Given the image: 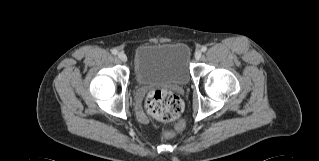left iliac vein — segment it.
Listing matches in <instances>:
<instances>
[{"label": "left iliac vein", "mask_w": 319, "mask_h": 161, "mask_svg": "<svg viewBox=\"0 0 319 161\" xmlns=\"http://www.w3.org/2000/svg\"><path fill=\"white\" fill-rule=\"evenodd\" d=\"M201 55H202V52H201L200 50H197V51L195 52V58H196L197 60L201 57Z\"/></svg>", "instance_id": "left-iliac-vein-1"}]
</instances>
